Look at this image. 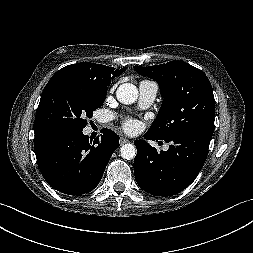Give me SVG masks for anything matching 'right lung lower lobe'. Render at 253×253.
Returning <instances> with one entry per match:
<instances>
[{"label": "right lung lower lobe", "mask_w": 253, "mask_h": 253, "mask_svg": "<svg viewBox=\"0 0 253 253\" xmlns=\"http://www.w3.org/2000/svg\"><path fill=\"white\" fill-rule=\"evenodd\" d=\"M94 140L82 131L48 129L35 133L34 149L40 171L55 190L80 195L100 182L112 153L119 147V136L103 129Z\"/></svg>", "instance_id": "obj_1"}]
</instances>
